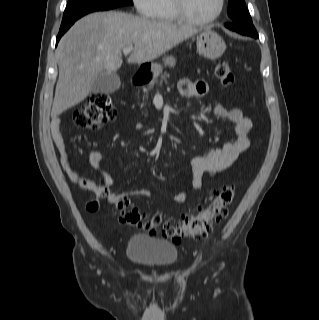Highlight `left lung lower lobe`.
Segmentation results:
<instances>
[{
	"label": "left lung lower lobe",
	"instance_id": "left-lung-lower-lobe-1",
	"mask_svg": "<svg viewBox=\"0 0 319 320\" xmlns=\"http://www.w3.org/2000/svg\"><path fill=\"white\" fill-rule=\"evenodd\" d=\"M225 26L233 31H236L242 35H248L255 39H257L259 36L257 34V31L255 29L247 28L244 26L236 25V24H225Z\"/></svg>",
	"mask_w": 319,
	"mask_h": 320
}]
</instances>
